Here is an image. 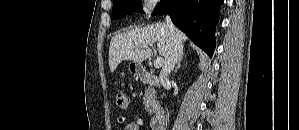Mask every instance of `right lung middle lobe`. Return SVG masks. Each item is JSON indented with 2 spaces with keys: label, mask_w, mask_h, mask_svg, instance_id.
<instances>
[{
  "label": "right lung middle lobe",
  "mask_w": 299,
  "mask_h": 130,
  "mask_svg": "<svg viewBox=\"0 0 299 130\" xmlns=\"http://www.w3.org/2000/svg\"><path fill=\"white\" fill-rule=\"evenodd\" d=\"M141 0H115L112 7V20L120 19L132 11L144 13L140 6Z\"/></svg>",
  "instance_id": "obj_1"
}]
</instances>
